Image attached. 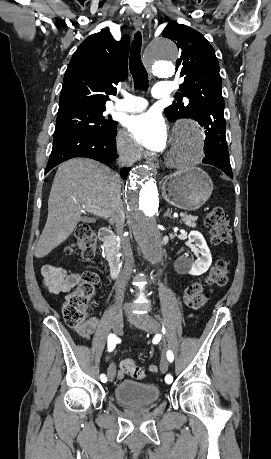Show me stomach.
<instances>
[{"label": "stomach", "instance_id": "1", "mask_svg": "<svg viewBox=\"0 0 271 459\" xmlns=\"http://www.w3.org/2000/svg\"><path fill=\"white\" fill-rule=\"evenodd\" d=\"M213 192L211 178L200 168H187L168 176L162 184V196L171 206L198 210Z\"/></svg>", "mask_w": 271, "mask_h": 459}]
</instances>
